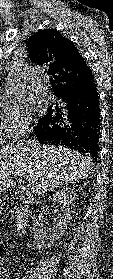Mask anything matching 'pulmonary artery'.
<instances>
[{"label": "pulmonary artery", "instance_id": "1", "mask_svg": "<svg viewBox=\"0 0 113 279\" xmlns=\"http://www.w3.org/2000/svg\"><path fill=\"white\" fill-rule=\"evenodd\" d=\"M42 99L46 102V103H51L53 101V96L52 94L49 92L48 90V86L45 85L43 86L42 90Z\"/></svg>", "mask_w": 113, "mask_h": 279}]
</instances>
